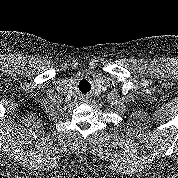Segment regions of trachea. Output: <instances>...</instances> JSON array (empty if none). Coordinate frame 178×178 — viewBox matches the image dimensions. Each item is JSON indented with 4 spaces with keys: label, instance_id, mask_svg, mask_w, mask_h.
<instances>
[{
    "label": "trachea",
    "instance_id": "1",
    "mask_svg": "<svg viewBox=\"0 0 178 178\" xmlns=\"http://www.w3.org/2000/svg\"><path fill=\"white\" fill-rule=\"evenodd\" d=\"M78 88L81 93H88L91 90V84L88 80L82 79L79 82Z\"/></svg>",
    "mask_w": 178,
    "mask_h": 178
}]
</instances>
